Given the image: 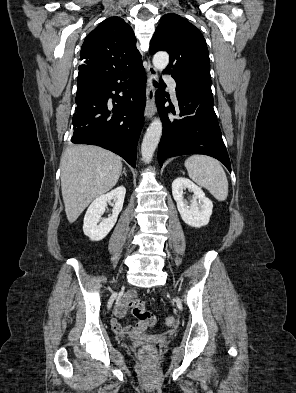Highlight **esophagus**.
Wrapping results in <instances>:
<instances>
[{
	"label": "esophagus",
	"instance_id": "1",
	"mask_svg": "<svg viewBox=\"0 0 296 393\" xmlns=\"http://www.w3.org/2000/svg\"><path fill=\"white\" fill-rule=\"evenodd\" d=\"M158 77L157 70L154 66L151 65L148 60V69H147V87H146V107H145V117L150 119L154 116L156 112L155 106V87L153 81H155Z\"/></svg>",
	"mask_w": 296,
	"mask_h": 393
}]
</instances>
